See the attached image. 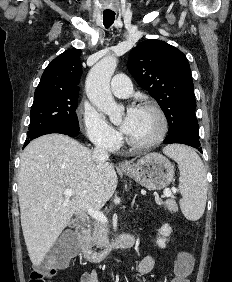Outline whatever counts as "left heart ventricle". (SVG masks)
<instances>
[{"label": "left heart ventricle", "instance_id": "1", "mask_svg": "<svg viewBox=\"0 0 232 282\" xmlns=\"http://www.w3.org/2000/svg\"><path fill=\"white\" fill-rule=\"evenodd\" d=\"M159 128V118L153 111L138 108L136 120L127 136L136 142H146L157 135Z\"/></svg>", "mask_w": 232, "mask_h": 282}]
</instances>
